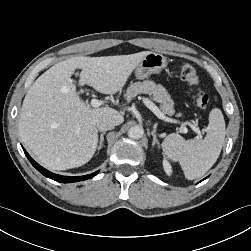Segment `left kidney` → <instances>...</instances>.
<instances>
[{
	"instance_id": "5707ae66",
	"label": "left kidney",
	"mask_w": 251,
	"mask_h": 251,
	"mask_svg": "<svg viewBox=\"0 0 251 251\" xmlns=\"http://www.w3.org/2000/svg\"><path fill=\"white\" fill-rule=\"evenodd\" d=\"M163 168L168 176L172 174V167L166 159L163 160Z\"/></svg>"
}]
</instances>
